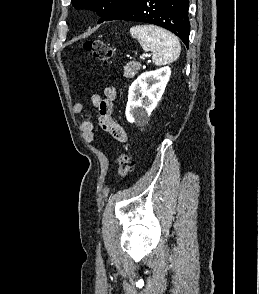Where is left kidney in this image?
Wrapping results in <instances>:
<instances>
[{"label": "left kidney", "instance_id": "1", "mask_svg": "<svg viewBox=\"0 0 259 294\" xmlns=\"http://www.w3.org/2000/svg\"><path fill=\"white\" fill-rule=\"evenodd\" d=\"M171 75L170 67L142 73L129 87L126 118L142 124L156 108Z\"/></svg>", "mask_w": 259, "mask_h": 294}]
</instances>
